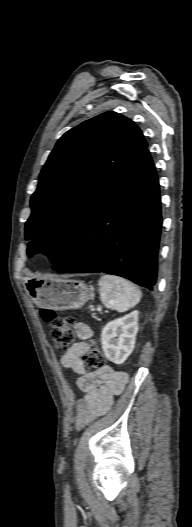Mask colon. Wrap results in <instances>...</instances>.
<instances>
[{
  "instance_id": "colon-1",
  "label": "colon",
  "mask_w": 192,
  "mask_h": 527,
  "mask_svg": "<svg viewBox=\"0 0 192 527\" xmlns=\"http://www.w3.org/2000/svg\"><path fill=\"white\" fill-rule=\"evenodd\" d=\"M41 317L50 325V337L58 350L67 349L75 341L73 330L74 320L70 317H60L51 309H41ZM89 349L83 356L84 364L91 370L104 367V356L94 340L88 341Z\"/></svg>"
}]
</instances>
